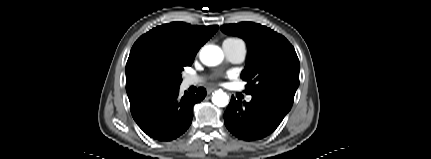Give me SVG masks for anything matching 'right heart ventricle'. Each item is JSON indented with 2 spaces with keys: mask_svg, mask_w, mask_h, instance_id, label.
<instances>
[{
  "mask_svg": "<svg viewBox=\"0 0 431 159\" xmlns=\"http://www.w3.org/2000/svg\"><path fill=\"white\" fill-rule=\"evenodd\" d=\"M226 40H237V39H232V38H230V39H226Z\"/></svg>",
  "mask_w": 431,
  "mask_h": 159,
  "instance_id": "1",
  "label": "right heart ventricle"
}]
</instances>
